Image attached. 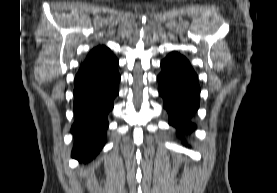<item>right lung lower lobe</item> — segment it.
I'll use <instances>...</instances> for the list:
<instances>
[{
	"instance_id": "98d812e1",
	"label": "right lung lower lobe",
	"mask_w": 277,
	"mask_h": 193,
	"mask_svg": "<svg viewBox=\"0 0 277 193\" xmlns=\"http://www.w3.org/2000/svg\"><path fill=\"white\" fill-rule=\"evenodd\" d=\"M117 66L118 60L108 49L85 60L75 76L72 157L79 162L93 159L106 142L108 112L119 93Z\"/></svg>"
}]
</instances>
